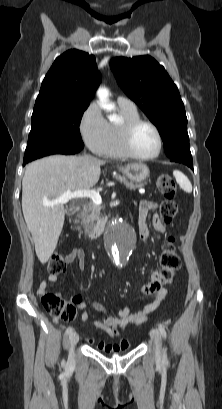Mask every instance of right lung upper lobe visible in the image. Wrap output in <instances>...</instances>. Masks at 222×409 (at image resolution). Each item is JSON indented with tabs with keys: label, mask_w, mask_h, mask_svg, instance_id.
<instances>
[{
	"label": "right lung upper lobe",
	"mask_w": 222,
	"mask_h": 409,
	"mask_svg": "<svg viewBox=\"0 0 222 409\" xmlns=\"http://www.w3.org/2000/svg\"><path fill=\"white\" fill-rule=\"evenodd\" d=\"M99 83L95 57L80 50H68L56 58L46 74L34 109L89 104Z\"/></svg>",
	"instance_id": "cb5924a9"
}]
</instances>
